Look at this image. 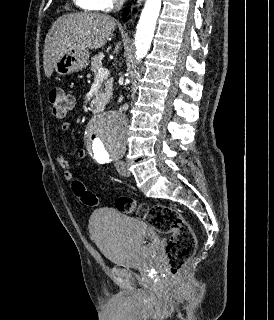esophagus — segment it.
I'll list each match as a JSON object with an SVG mask.
<instances>
[{"label":"esophagus","instance_id":"esophagus-1","mask_svg":"<svg viewBox=\"0 0 274 320\" xmlns=\"http://www.w3.org/2000/svg\"><path fill=\"white\" fill-rule=\"evenodd\" d=\"M142 0H133V7L140 5Z\"/></svg>","mask_w":274,"mask_h":320}]
</instances>
